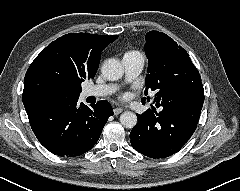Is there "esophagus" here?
Wrapping results in <instances>:
<instances>
[{
    "label": "esophagus",
    "instance_id": "1",
    "mask_svg": "<svg viewBox=\"0 0 240 191\" xmlns=\"http://www.w3.org/2000/svg\"><path fill=\"white\" fill-rule=\"evenodd\" d=\"M122 111H123V108H121V107H115L113 110L115 115L120 114Z\"/></svg>",
    "mask_w": 240,
    "mask_h": 191
}]
</instances>
